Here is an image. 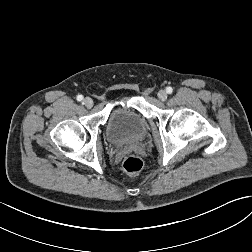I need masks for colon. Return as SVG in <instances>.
<instances>
[{
  "instance_id": "1",
  "label": "colon",
  "mask_w": 252,
  "mask_h": 252,
  "mask_svg": "<svg viewBox=\"0 0 252 252\" xmlns=\"http://www.w3.org/2000/svg\"><path fill=\"white\" fill-rule=\"evenodd\" d=\"M124 171L130 175L138 174L143 168V161L136 155H128L122 162Z\"/></svg>"
}]
</instances>
